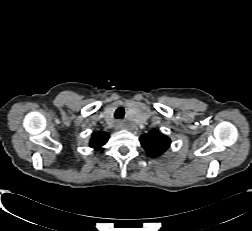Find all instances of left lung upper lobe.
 Wrapping results in <instances>:
<instances>
[{
	"label": "left lung upper lobe",
	"mask_w": 252,
	"mask_h": 231,
	"mask_svg": "<svg viewBox=\"0 0 252 231\" xmlns=\"http://www.w3.org/2000/svg\"><path fill=\"white\" fill-rule=\"evenodd\" d=\"M140 142L150 157H158L170 146V139L158 130H151L140 137Z\"/></svg>",
	"instance_id": "left-lung-upper-lobe-1"
}]
</instances>
